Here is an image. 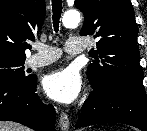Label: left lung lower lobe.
<instances>
[{
	"label": "left lung lower lobe",
	"mask_w": 147,
	"mask_h": 131,
	"mask_svg": "<svg viewBox=\"0 0 147 131\" xmlns=\"http://www.w3.org/2000/svg\"><path fill=\"white\" fill-rule=\"evenodd\" d=\"M123 123L147 131V96L144 89L120 84L108 90L93 88L78 115L76 128Z\"/></svg>",
	"instance_id": "0a47b994"
}]
</instances>
